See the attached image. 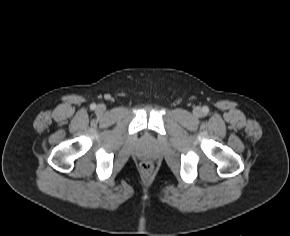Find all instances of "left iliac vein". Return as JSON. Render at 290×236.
<instances>
[{"instance_id":"4c4485c4","label":"left iliac vein","mask_w":290,"mask_h":236,"mask_svg":"<svg viewBox=\"0 0 290 236\" xmlns=\"http://www.w3.org/2000/svg\"><path fill=\"white\" fill-rule=\"evenodd\" d=\"M203 114L202 109L200 107H197L194 109V115L197 117H201Z\"/></svg>"}]
</instances>
